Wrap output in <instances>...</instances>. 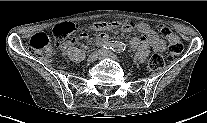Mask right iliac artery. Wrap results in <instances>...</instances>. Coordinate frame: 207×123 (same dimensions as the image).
Wrapping results in <instances>:
<instances>
[{"label": "right iliac artery", "mask_w": 207, "mask_h": 123, "mask_svg": "<svg viewBox=\"0 0 207 123\" xmlns=\"http://www.w3.org/2000/svg\"><path fill=\"white\" fill-rule=\"evenodd\" d=\"M118 42H114V43H111V42H107L105 44H102L101 47L102 49L104 50H113L114 47L117 45ZM123 44V43H121ZM124 45V44H123Z\"/></svg>", "instance_id": "right-iliac-artery-1"}]
</instances>
